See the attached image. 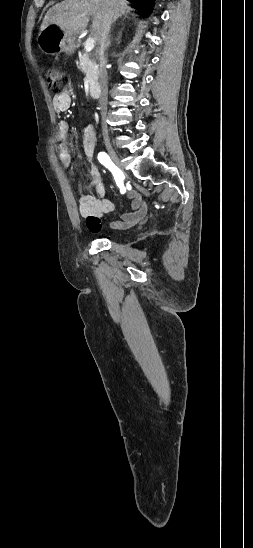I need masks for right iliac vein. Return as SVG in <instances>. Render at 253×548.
I'll return each mask as SVG.
<instances>
[{"label":"right iliac vein","instance_id":"63e3f726","mask_svg":"<svg viewBox=\"0 0 253 548\" xmlns=\"http://www.w3.org/2000/svg\"><path fill=\"white\" fill-rule=\"evenodd\" d=\"M107 150H108V153L110 155V158L112 159V161L119 167H121V162H120V159L117 155V153L115 152V150L111 147V145L107 144Z\"/></svg>","mask_w":253,"mask_h":548}]
</instances>
